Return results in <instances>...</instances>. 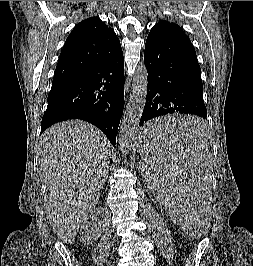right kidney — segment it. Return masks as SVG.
Masks as SVG:
<instances>
[{"label": "right kidney", "mask_w": 253, "mask_h": 266, "mask_svg": "<svg viewBox=\"0 0 253 266\" xmlns=\"http://www.w3.org/2000/svg\"><path fill=\"white\" fill-rule=\"evenodd\" d=\"M80 228V236L84 243L92 244L101 235L100 222H97L96 215L86 219Z\"/></svg>", "instance_id": "1"}]
</instances>
